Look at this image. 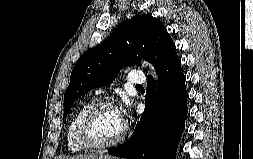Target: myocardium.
Segmentation results:
<instances>
[{"mask_svg":"<svg viewBox=\"0 0 253 159\" xmlns=\"http://www.w3.org/2000/svg\"><path fill=\"white\" fill-rule=\"evenodd\" d=\"M105 109H117V106L110 101H102L92 106L82 117L77 128V140L86 149H106L120 144L127 135V127L115 139L107 142L96 141L91 134V125L95 117Z\"/></svg>","mask_w":253,"mask_h":159,"instance_id":"obj_1","label":"myocardium"}]
</instances>
